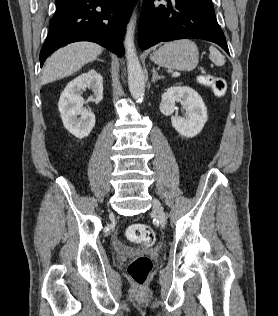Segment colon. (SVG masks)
I'll return each instance as SVG.
<instances>
[{"instance_id": "1", "label": "colon", "mask_w": 278, "mask_h": 316, "mask_svg": "<svg viewBox=\"0 0 278 316\" xmlns=\"http://www.w3.org/2000/svg\"><path fill=\"white\" fill-rule=\"evenodd\" d=\"M200 83L209 87L217 97L224 96L227 90L226 81L221 76L204 75L200 78ZM126 235L129 240L143 248L151 246L155 240L153 229L144 224L129 226ZM152 266V261L147 256H137L129 261L127 266L128 275L137 287L143 288L147 284Z\"/></svg>"}]
</instances>
